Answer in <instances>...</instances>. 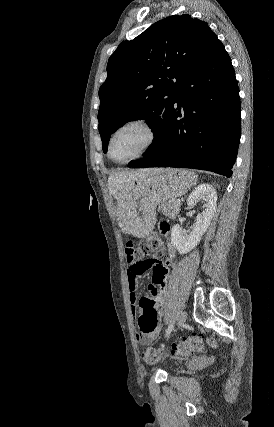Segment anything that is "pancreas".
I'll return each instance as SVG.
<instances>
[{"mask_svg": "<svg viewBox=\"0 0 274 427\" xmlns=\"http://www.w3.org/2000/svg\"><path fill=\"white\" fill-rule=\"evenodd\" d=\"M181 204H176L174 200H168V202H161L159 210H162L165 215L174 219L175 215L179 214Z\"/></svg>", "mask_w": 274, "mask_h": 427, "instance_id": "pancreas-1", "label": "pancreas"}]
</instances>
